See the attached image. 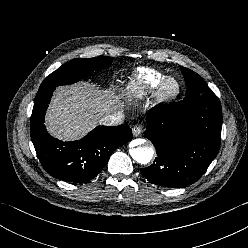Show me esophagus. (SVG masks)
I'll return each mask as SVG.
<instances>
[{"label": "esophagus", "instance_id": "34e87169", "mask_svg": "<svg viewBox=\"0 0 248 248\" xmlns=\"http://www.w3.org/2000/svg\"><path fill=\"white\" fill-rule=\"evenodd\" d=\"M132 133H133V136H134V137H138V136H140L141 133H142V128H141L139 125H136V126H134L133 129H132Z\"/></svg>", "mask_w": 248, "mask_h": 248}]
</instances>
